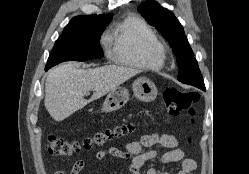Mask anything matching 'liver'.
I'll return each mask as SVG.
<instances>
[{"instance_id":"obj_1","label":"liver","mask_w":249,"mask_h":174,"mask_svg":"<svg viewBox=\"0 0 249 174\" xmlns=\"http://www.w3.org/2000/svg\"><path fill=\"white\" fill-rule=\"evenodd\" d=\"M138 69L117 65H106L93 69H77L66 63L52 68L45 83V108L55 121H62L131 77ZM93 90L89 100L84 96Z\"/></svg>"}]
</instances>
